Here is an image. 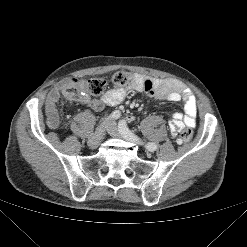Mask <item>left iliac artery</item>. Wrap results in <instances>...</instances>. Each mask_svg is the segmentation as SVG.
I'll return each mask as SVG.
<instances>
[{"label": "left iliac artery", "mask_w": 247, "mask_h": 247, "mask_svg": "<svg viewBox=\"0 0 247 247\" xmlns=\"http://www.w3.org/2000/svg\"><path fill=\"white\" fill-rule=\"evenodd\" d=\"M118 128H119V131L122 134H124L126 136H129V137L138 138L135 134H133L129 130V128H128V126H127V124H126V122L124 120H122V121L119 122ZM146 149L149 150V151H151V152H153V151H155L157 149V145L155 143H152V142L151 143H148L146 145Z\"/></svg>", "instance_id": "left-iliac-artery-1"}]
</instances>
